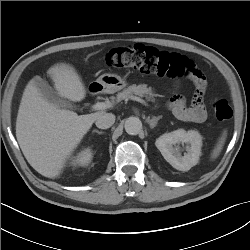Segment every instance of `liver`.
I'll return each instance as SVG.
<instances>
[{
  "label": "liver",
  "instance_id": "6515ba94",
  "mask_svg": "<svg viewBox=\"0 0 250 250\" xmlns=\"http://www.w3.org/2000/svg\"><path fill=\"white\" fill-rule=\"evenodd\" d=\"M57 94L79 102L86 96V88L69 64L50 67ZM105 111L86 115L61 109L49 102L32 80L25 88L18 110L16 137L28 163L41 175L57 178L74 149L90 130L97 117Z\"/></svg>",
  "mask_w": 250,
  "mask_h": 250
}]
</instances>
